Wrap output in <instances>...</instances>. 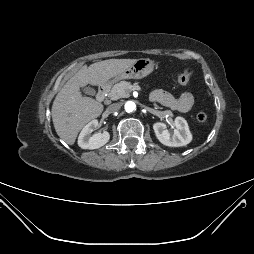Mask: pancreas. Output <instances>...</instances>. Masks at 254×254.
I'll list each match as a JSON object with an SVG mask.
<instances>
[{"label":"pancreas","mask_w":254,"mask_h":254,"mask_svg":"<svg viewBox=\"0 0 254 254\" xmlns=\"http://www.w3.org/2000/svg\"><path fill=\"white\" fill-rule=\"evenodd\" d=\"M136 87V85H132L130 82L121 81L115 84L111 91L108 94V97L111 100H118L120 98L129 97L130 92Z\"/></svg>","instance_id":"cf45deb5"}]
</instances>
